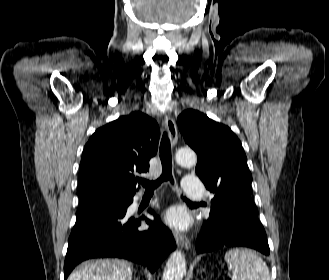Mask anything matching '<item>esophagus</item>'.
Masks as SVG:
<instances>
[{
  "instance_id": "obj_1",
  "label": "esophagus",
  "mask_w": 329,
  "mask_h": 280,
  "mask_svg": "<svg viewBox=\"0 0 329 280\" xmlns=\"http://www.w3.org/2000/svg\"><path fill=\"white\" fill-rule=\"evenodd\" d=\"M164 124L169 134L172 145H175L177 143L178 133L174 120L170 116L166 115L164 119ZM173 235L179 247L184 248L186 250L190 249V242L186 235L179 233L176 230L173 231Z\"/></svg>"
}]
</instances>
